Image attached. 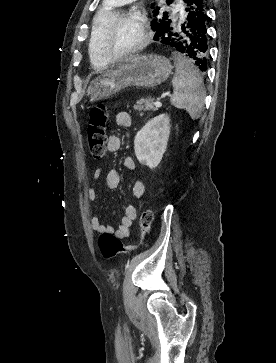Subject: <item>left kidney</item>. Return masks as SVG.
Here are the masks:
<instances>
[{"label": "left kidney", "instance_id": "obj_1", "mask_svg": "<svg viewBox=\"0 0 276 363\" xmlns=\"http://www.w3.org/2000/svg\"><path fill=\"white\" fill-rule=\"evenodd\" d=\"M170 118L161 114L148 121L136 134L134 150L138 161L150 169L156 168L167 148Z\"/></svg>", "mask_w": 276, "mask_h": 363}]
</instances>
